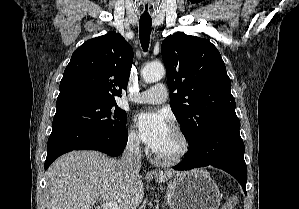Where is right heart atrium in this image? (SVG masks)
<instances>
[{
	"label": "right heart atrium",
	"instance_id": "d8ad5b80",
	"mask_svg": "<svg viewBox=\"0 0 299 209\" xmlns=\"http://www.w3.org/2000/svg\"><path fill=\"white\" fill-rule=\"evenodd\" d=\"M127 145L129 148H131L134 151H138L140 149V140L138 135L135 131L130 130L127 136Z\"/></svg>",
	"mask_w": 299,
	"mask_h": 209
}]
</instances>
